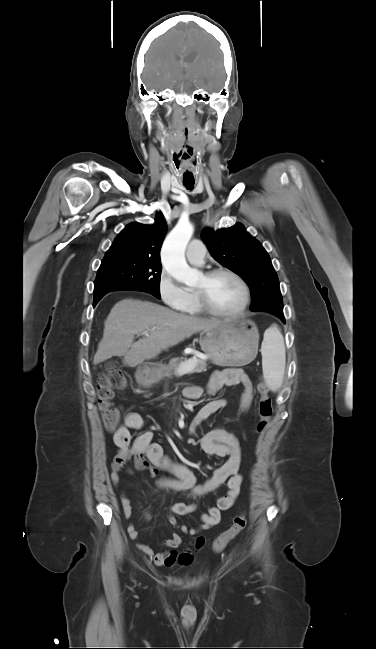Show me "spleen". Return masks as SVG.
I'll list each match as a JSON object with an SVG mask.
<instances>
[{
	"instance_id": "3e777b00",
	"label": "spleen",
	"mask_w": 376,
	"mask_h": 649,
	"mask_svg": "<svg viewBox=\"0 0 376 649\" xmlns=\"http://www.w3.org/2000/svg\"><path fill=\"white\" fill-rule=\"evenodd\" d=\"M261 354L265 382L269 389L277 391L283 382L286 354L282 334L275 325L264 334Z\"/></svg>"
}]
</instances>
